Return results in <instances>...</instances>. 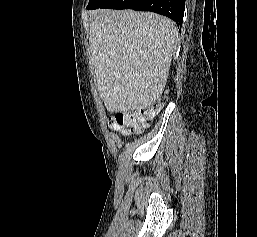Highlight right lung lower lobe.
<instances>
[{"mask_svg": "<svg viewBox=\"0 0 257 237\" xmlns=\"http://www.w3.org/2000/svg\"><path fill=\"white\" fill-rule=\"evenodd\" d=\"M99 8L152 11L171 18L176 22L178 28H181L185 0H108ZM87 9L97 8L87 7Z\"/></svg>", "mask_w": 257, "mask_h": 237, "instance_id": "right-lung-lower-lobe-1", "label": "right lung lower lobe"}]
</instances>
